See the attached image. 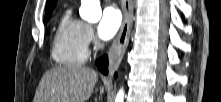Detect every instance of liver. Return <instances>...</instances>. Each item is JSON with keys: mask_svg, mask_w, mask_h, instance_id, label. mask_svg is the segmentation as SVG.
<instances>
[{"mask_svg": "<svg viewBox=\"0 0 221 102\" xmlns=\"http://www.w3.org/2000/svg\"><path fill=\"white\" fill-rule=\"evenodd\" d=\"M98 80L95 70L81 66L47 71L39 83L34 102H86Z\"/></svg>", "mask_w": 221, "mask_h": 102, "instance_id": "1", "label": "liver"}]
</instances>
